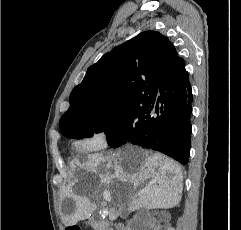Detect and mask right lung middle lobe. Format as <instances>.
<instances>
[{
	"label": "right lung middle lobe",
	"instance_id": "obj_1",
	"mask_svg": "<svg viewBox=\"0 0 241 230\" xmlns=\"http://www.w3.org/2000/svg\"><path fill=\"white\" fill-rule=\"evenodd\" d=\"M149 102L134 108L114 109L102 119L80 122L62 134L69 138H84L105 132L109 145L116 148L132 133L141 131L147 125Z\"/></svg>",
	"mask_w": 241,
	"mask_h": 230
}]
</instances>
